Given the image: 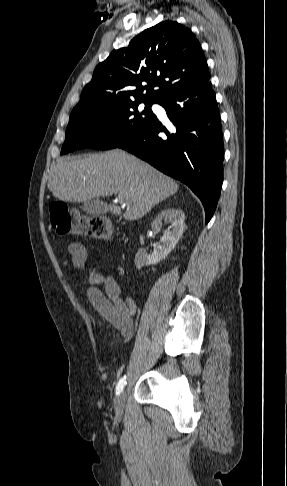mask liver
<instances>
[{"instance_id":"liver-1","label":"liver","mask_w":287,"mask_h":486,"mask_svg":"<svg viewBox=\"0 0 287 486\" xmlns=\"http://www.w3.org/2000/svg\"><path fill=\"white\" fill-rule=\"evenodd\" d=\"M48 188L55 198L68 202H84L116 193L118 200L127 203L123 218L133 221L174 195L179 186L135 156L112 150L60 158L51 171ZM109 210L114 215L122 214L115 204H110Z\"/></svg>"}]
</instances>
